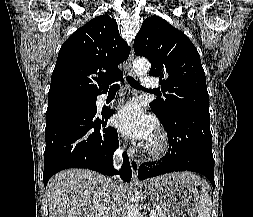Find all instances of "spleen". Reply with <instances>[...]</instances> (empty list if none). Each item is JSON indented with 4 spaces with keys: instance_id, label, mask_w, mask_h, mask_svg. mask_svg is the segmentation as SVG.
<instances>
[{
    "instance_id": "obj_1",
    "label": "spleen",
    "mask_w": 253,
    "mask_h": 217,
    "mask_svg": "<svg viewBox=\"0 0 253 217\" xmlns=\"http://www.w3.org/2000/svg\"><path fill=\"white\" fill-rule=\"evenodd\" d=\"M212 201L211 197L203 189L200 196V205L198 210V217H211Z\"/></svg>"
}]
</instances>
